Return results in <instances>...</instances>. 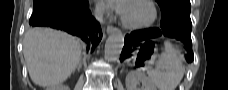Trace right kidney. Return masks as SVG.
<instances>
[{"mask_svg": "<svg viewBox=\"0 0 228 90\" xmlns=\"http://www.w3.org/2000/svg\"><path fill=\"white\" fill-rule=\"evenodd\" d=\"M47 90H69L68 86L58 85V86H52L48 88Z\"/></svg>", "mask_w": 228, "mask_h": 90, "instance_id": "obj_1", "label": "right kidney"}]
</instances>
